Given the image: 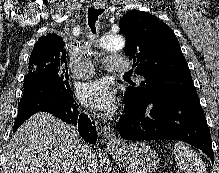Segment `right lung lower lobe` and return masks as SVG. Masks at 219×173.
<instances>
[{"label": "right lung lower lobe", "mask_w": 219, "mask_h": 173, "mask_svg": "<svg viewBox=\"0 0 219 173\" xmlns=\"http://www.w3.org/2000/svg\"><path fill=\"white\" fill-rule=\"evenodd\" d=\"M38 111L49 112L64 122L78 125L82 138L87 142L96 143L94 122H91L87 115L78 114V108L73 103V94L65 95L58 86L45 81L25 91L19 102L14 131Z\"/></svg>", "instance_id": "98d812e1"}]
</instances>
